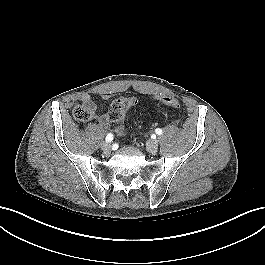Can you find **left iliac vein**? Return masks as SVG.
<instances>
[{
  "label": "left iliac vein",
  "mask_w": 265,
  "mask_h": 265,
  "mask_svg": "<svg viewBox=\"0 0 265 265\" xmlns=\"http://www.w3.org/2000/svg\"><path fill=\"white\" fill-rule=\"evenodd\" d=\"M158 142L157 141H150L146 145V149L150 153H155L158 150Z\"/></svg>",
  "instance_id": "obj_1"
}]
</instances>
